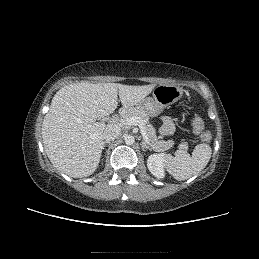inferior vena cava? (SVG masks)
<instances>
[{"mask_svg":"<svg viewBox=\"0 0 259 259\" xmlns=\"http://www.w3.org/2000/svg\"><path fill=\"white\" fill-rule=\"evenodd\" d=\"M121 133V129L117 125H107L104 130L103 137L105 141L110 142L116 139Z\"/></svg>","mask_w":259,"mask_h":259,"instance_id":"obj_1","label":"inferior vena cava"}]
</instances>
